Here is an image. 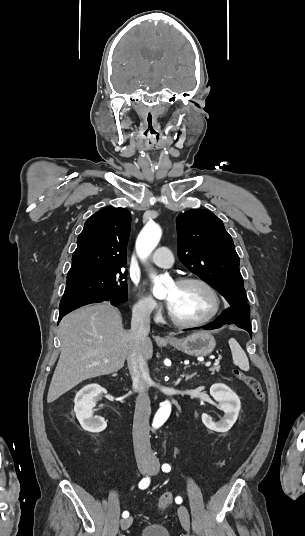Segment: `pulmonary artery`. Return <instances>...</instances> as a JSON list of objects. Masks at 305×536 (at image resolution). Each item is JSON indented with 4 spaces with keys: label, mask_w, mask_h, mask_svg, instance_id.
Segmentation results:
<instances>
[{
    "label": "pulmonary artery",
    "mask_w": 305,
    "mask_h": 536,
    "mask_svg": "<svg viewBox=\"0 0 305 536\" xmlns=\"http://www.w3.org/2000/svg\"><path fill=\"white\" fill-rule=\"evenodd\" d=\"M170 253L169 248L159 247L149 257V261L159 267H171L174 263V259L168 256Z\"/></svg>",
    "instance_id": "1"
}]
</instances>
